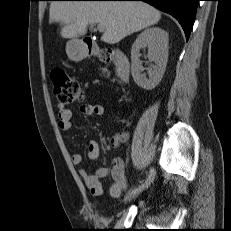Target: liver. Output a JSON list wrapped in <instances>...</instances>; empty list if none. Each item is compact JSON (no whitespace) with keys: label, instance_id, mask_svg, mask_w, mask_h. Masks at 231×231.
Returning a JSON list of instances; mask_svg holds the SVG:
<instances>
[{"label":"liver","instance_id":"obj_1","mask_svg":"<svg viewBox=\"0 0 231 231\" xmlns=\"http://www.w3.org/2000/svg\"><path fill=\"white\" fill-rule=\"evenodd\" d=\"M50 23L63 25V38H77L89 24L104 26L101 40L108 44L158 23L161 13L144 2L132 1H54L50 5Z\"/></svg>","mask_w":231,"mask_h":231}]
</instances>
